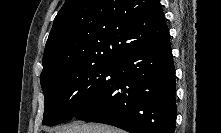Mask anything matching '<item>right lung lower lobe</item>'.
<instances>
[{
  "mask_svg": "<svg viewBox=\"0 0 221 133\" xmlns=\"http://www.w3.org/2000/svg\"><path fill=\"white\" fill-rule=\"evenodd\" d=\"M175 68L170 40L118 57L98 90L75 113L130 133H173Z\"/></svg>",
  "mask_w": 221,
  "mask_h": 133,
  "instance_id": "98d812e1",
  "label": "right lung lower lobe"
}]
</instances>
